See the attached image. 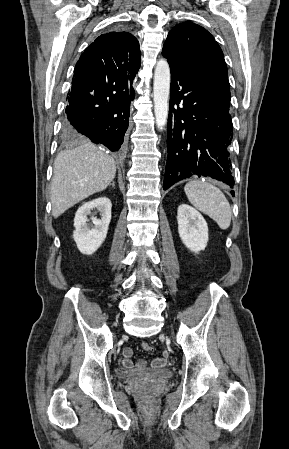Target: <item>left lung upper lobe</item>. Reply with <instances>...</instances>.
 Here are the masks:
<instances>
[{
    "label": "left lung upper lobe",
    "instance_id": "5c2ea615",
    "mask_svg": "<svg viewBox=\"0 0 289 449\" xmlns=\"http://www.w3.org/2000/svg\"><path fill=\"white\" fill-rule=\"evenodd\" d=\"M162 53L170 67L189 71L230 103V85L224 55L203 27L184 22L168 34Z\"/></svg>",
    "mask_w": 289,
    "mask_h": 449
}]
</instances>
